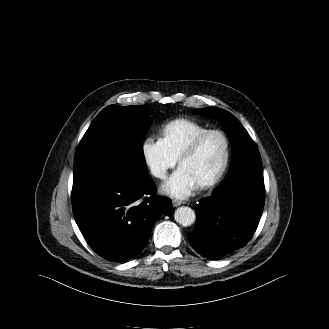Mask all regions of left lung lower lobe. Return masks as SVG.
Segmentation results:
<instances>
[{"label": "left lung lower lobe", "mask_w": 329, "mask_h": 329, "mask_svg": "<svg viewBox=\"0 0 329 329\" xmlns=\"http://www.w3.org/2000/svg\"><path fill=\"white\" fill-rule=\"evenodd\" d=\"M219 189V197L196 206V224L187 235L193 249L210 259L244 247L256 230L265 200L262 162L238 161Z\"/></svg>", "instance_id": "1"}]
</instances>
